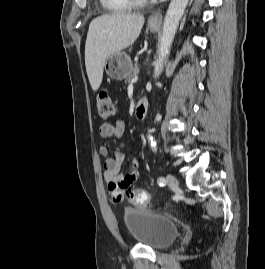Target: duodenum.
<instances>
[{
	"instance_id": "1",
	"label": "duodenum",
	"mask_w": 265,
	"mask_h": 269,
	"mask_svg": "<svg viewBox=\"0 0 265 269\" xmlns=\"http://www.w3.org/2000/svg\"><path fill=\"white\" fill-rule=\"evenodd\" d=\"M148 110V101L145 98H141L136 105L135 115L137 118H143Z\"/></svg>"
}]
</instances>
